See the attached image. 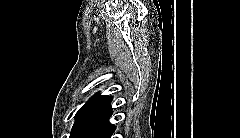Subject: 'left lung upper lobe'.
I'll return each mask as SVG.
<instances>
[{
	"label": "left lung upper lobe",
	"instance_id": "left-lung-upper-lobe-1",
	"mask_svg": "<svg viewBox=\"0 0 240 138\" xmlns=\"http://www.w3.org/2000/svg\"><path fill=\"white\" fill-rule=\"evenodd\" d=\"M112 98L110 96L95 95L82 106L76 114V121L70 133V138H78L86 125L97 112Z\"/></svg>",
	"mask_w": 240,
	"mask_h": 138
}]
</instances>
